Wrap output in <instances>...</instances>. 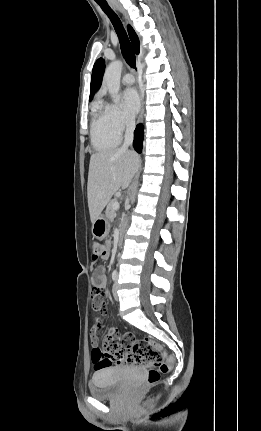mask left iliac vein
Segmentation results:
<instances>
[{"label": "left iliac vein", "instance_id": "obj_1", "mask_svg": "<svg viewBox=\"0 0 261 431\" xmlns=\"http://www.w3.org/2000/svg\"><path fill=\"white\" fill-rule=\"evenodd\" d=\"M117 279H118V275H117ZM117 279H116V281H115V283H114V285H113V289H112L113 296H114V298H115L116 300H118V293H117V290H118V283H117Z\"/></svg>", "mask_w": 261, "mask_h": 431}]
</instances>
